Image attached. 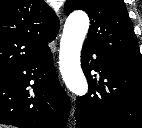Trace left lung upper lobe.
I'll return each instance as SVG.
<instances>
[{"mask_svg":"<svg viewBox=\"0 0 142 128\" xmlns=\"http://www.w3.org/2000/svg\"><path fill=\"white\" fill-rule=\"evenodd\" d=\"M84 10L90 28L84 44L90 45L119 67L142 71V55L123 0H67L65 14Z\"/></svg>","mask_w":142,"mask_h":128,"instance_id":"5c2ea615","label":"left lung upper lobe"}]
</instances>
